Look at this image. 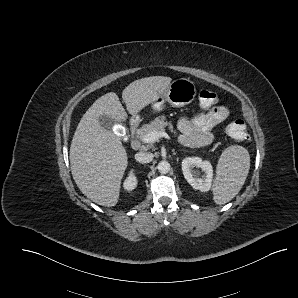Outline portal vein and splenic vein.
Masks as SVG:
<instances>
[{
    "instance_id": "1",
    "label": "portal vein and splenic vein",
    "mask_w": 298,
    "mask_h": 298,
    "mask_svg": "<svg viewBox=\"0 0 298 298\" xmlns=\"http://www.w3.org/2000/svg\"><path fill=\"white\" fill-rule=\"evenodd\" d=\"M162 137H168V134L162 131H152L149 132L145 137H144V142L148 143H154L160 140Z\"/></svg>"
}]
</instances>
